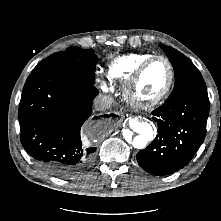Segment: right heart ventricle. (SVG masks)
Instances as JSON below:
<instances>
[{
	"label": "right heart ventricle",
	"instance_id": "e07e8e85",
	"mask_svg": "<svg viewBox=\"0 0 221 221\" xmlns=\"http://www.w3.org/2000/svg\"><path fill=\"white\" fill-rule=\"evenodd\" d=\"M153 55L152 53H131L113 59L107 65L108 79L125 83L138 66Z\"/></svg>",
	"mask_w": 221,
	"mask_h": 221
}]
</instances>
